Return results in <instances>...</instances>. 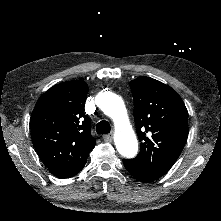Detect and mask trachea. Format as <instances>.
I'll use <instances>...</instances> for the list:
<instances>
[{"mask_svg":"<svg viewBox=\"0 0 221 221\" xmlns=\"http://www.w3.org/2000/svg\"><path fill=\"white\" fill-rule=\"evenodd\" d=\"M111 131V127L108 121L101 120L96 126V132L98 134H108Z\"/></svg>","mask_w":221,"mask_h":221,"instance_id":"1","label":"trachea"}]
</instances>
